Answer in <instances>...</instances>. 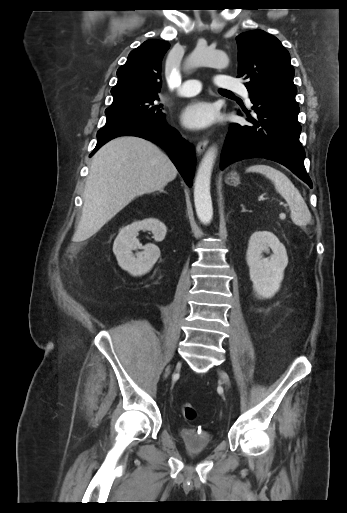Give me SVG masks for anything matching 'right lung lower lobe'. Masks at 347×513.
Wrapping results in <instances>:
<instances>
[{
	"instance_id": "right-lung-lower-lobe-1",
	"label": "right lung lower lobe",
	"mask_w": 347,
	"mask_h": 513,
	"mask_svg": "<svg viewBox=\"0 0 347 513\" xmlns=\"http://www.w3.org/2000/svg\"><path fill=\"white\" fill-rule=\"evenodd\" d=\"M125 135L141 137L160 145L167 151L188 186H192L195 170L194 151L178 131L166 123L165 118L156 122L137 117L106 122V125L97 132V145L91 156L109 140Z\"/></svg>"
}]
</instances>
